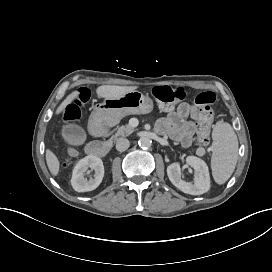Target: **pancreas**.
I'll return each mask as SVG.
<instances>
[{"label":"pancreas","instance_id":"cf45deb5","mask_svg":"<svg viewBox=\"0 0 272 272\" xmlns=\"http://www.w3.org/2000/svg\"><path fill=\"white\" fill-rule=\"evenodd\" d=\"M120 118H111L108 119V124L114 125L119 122ZM136 131V129L130 125L116 127V132L108 139L109 143L117 141L119 138L126 137Z\"/></svg>","mask_w":272,"mask_h":272}]
</instances>
